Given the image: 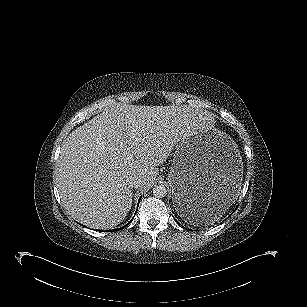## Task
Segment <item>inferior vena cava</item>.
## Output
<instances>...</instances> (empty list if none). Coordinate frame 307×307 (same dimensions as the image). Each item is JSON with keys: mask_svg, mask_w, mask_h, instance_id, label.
I'll return each instance as SVG.
<instances>
[{"mask_svg": "<svg viewBox=\"0 0 307 307\" xmlns=\"http://www.w3.org/2000/svg\"><path fill=\"white\" fill-rule=\"evenodd\" d=\"M141 180H139V179H133V180H131L130 182H129V184H128V186H129V188H131V189H137V188H139L140 186H141Z\"/></svg>", "mask_w": 307, "mask_h": 307, "instance_id": "1", "label": "inferior vena cava"}]
</instances>
